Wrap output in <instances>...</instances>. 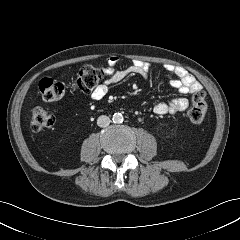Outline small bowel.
<instances>
[{
    "label": "small bowel",
    "mask_w": 240,
    "mask_h": 240,
    "mask_svg": "<svg viewBox=\"0 0 240 240\" xmlns=\"http://www.w3.org/2000/svg\"><path fill=\"white\" fill-rule=\"evenodd\" d=\"M121 58L117 55H112L107 59L106 65L102 72L105 77L103 83L98 85L91 93L93 100H100L109 91V88L117 84L131 75H138L147 78L151 73V65L147 62L135 60L132 64L122 70H116L115 67L119 64ZM164 69L174 75L170 84L173 88L177 89L181 94H195L201 91V84L185 69L174 66L171 64H165ZM189 106V100L186 97H177L170 102L157 103L153 111L157 115L171 114L175 115L186 110Z\"/></svg>",
    "instance_id": "1"
}]
</instances>
